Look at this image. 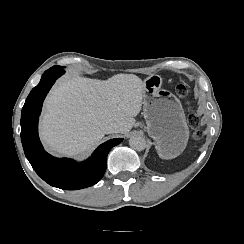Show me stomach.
I'll return each instance as SVG.
<instances>
[{
  "mask_svg": "<svg viewBox=\"0 0 244 244\" xmlns=\"http://www.w3.org/2000/svg\"><path fill=\"white\" fill-rule=\"evenodd\" d=\"M143 82V115L147 132L155 140L160 158H176L185 150L189 139L182 104L172 92L162 89L160 75L152 74Z\"/></svg>",
  "mask_w": 244,
  "mask_h": 244,
  "instance_id": "1",
  "label": "stomach"
}]
</instances>
